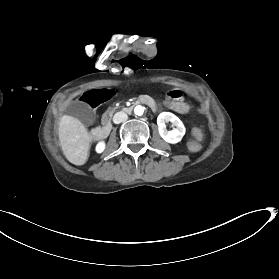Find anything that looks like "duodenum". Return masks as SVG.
<instances>
[{"label": "duodenum", "instance_id": "1", "mask_svg": "<svg viewBox=\"0 0 279 279\" xmlns=\"http://www.w3.org/2000/svg\"><path fill=\"white\" fill-rule=\"evenodd\" d=\"M140 104H145L147 103L148 105L153 106V109H155V112H160V107H158V103H156L155 100H152V97L150 96H145V95H140L137 97V100H134V102H130L129 105H124L122 107V110L125 113H131L134 111L135 105ZM112 128V123L111 120H106V126L104 127V131L100 127H93L90 130V137L93 140H106V136L109 135V132L111 131Z\"/></svg>", "mask_w": 279, "mask_h": 279}]
</instances>
